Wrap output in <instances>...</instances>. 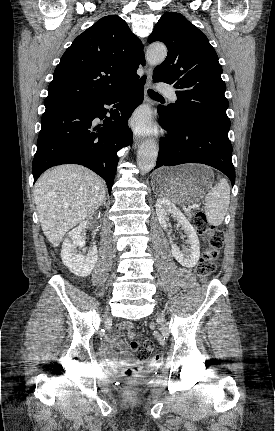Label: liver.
I'll list each match as a JSON object with an SVG mask.
<instances>
[{"label": "liver", "mask_w": 275, "mask_h": 431, "mask_svg": "<svg viewBox=\"0 0 275 431\" xmlns=\"http://www.w3.org/2000/svg\"><path fill=\"white\" fill-rule=\"evenodd\" d=\"M105 194L102 178L83 166L61 165L46 171L34 186V198L49 242L59 246L67 231L99 208Z\"/></svg>", "instance_id": "liver-1"}]
</instances>
